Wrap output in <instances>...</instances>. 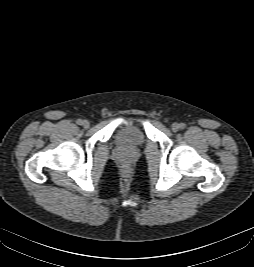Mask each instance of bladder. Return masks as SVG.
<instances>
[{
	"mask_svg": "<svg viewBox=\"0 0 254 267\" xmlns=\"http://www.w3.org/2000/svg\"><path fill=\"white\" fill-rule=\"evenodd\" d=\"M116 143L125 149L140 147L145 142V135L136 125H125L117 129L115 133Z\"/></svg>",
	"mask_w": 254,
	"mask_h": 267,
	"instance_id": "bladder-1",
	"label": "bladder"
}]
</instances>
